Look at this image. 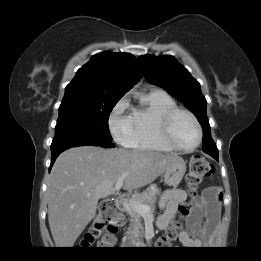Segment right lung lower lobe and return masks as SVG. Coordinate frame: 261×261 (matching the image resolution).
I'll return each instance as SVG.
<instances>
[{
    "label": "right lung lower lobe",
    "instance_id": "98d812e1",
    "mask_svg": "<svg viewBox=\"0 0 261 261\" xmlns=\"http://www.w3.org/2000/svg\"><path fill=\"white\" fill-rule=\"evenodd\" d=\"M85 145L101 146L103 148L114 147V145L110 142V140L101 137L88 136V135L67 137L59 140H53L51 144L52 155H51L50 170L60 153H62L63 151L71 147L85 146Z\"/></svg>",
    "mask_w": 261,
    "mask_h": 261
}]
</instances>
